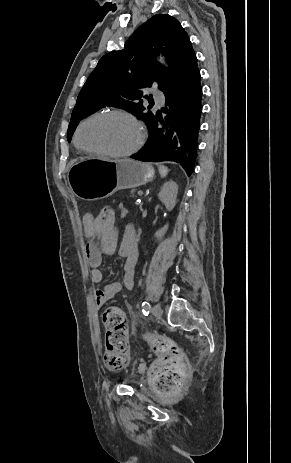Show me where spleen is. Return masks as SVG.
<instances>
[{"instance_id":"spleen-1","label":"spleen","mask_w":291,"mask_h":463,"mask_svg":"<svg viewBox=\"0 0 291 463\" xmlns=\"http://www.w3.org/2000/svg\"><path fill=\"white\" fill-rule=\"evenodd\" d=\"M158 169H159V173H160L161 177H166V175L169 172L168 168L166 166H164V165L158 166Z\"/></svg>"}]
</instances>
